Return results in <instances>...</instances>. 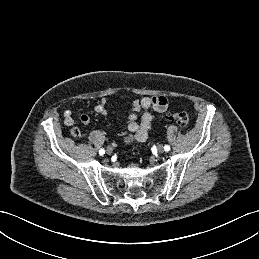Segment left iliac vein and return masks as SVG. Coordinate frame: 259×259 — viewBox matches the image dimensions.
<instances>
[{"mask_svg": "<svg viewBox=\"0 0 259 259\" xmlns=\"http://www.w3.org/2000/svg\"><path fill=\"white\" fill-rule=\"evenodd\" d=\"M158 152L163 153L164 152V146L163 145H158Z\"/></svg>", "mask_w": 259, "mask_h": 259, "instance_id": "4c4485c4", "label": "left iliac vein"}]
</instances>
